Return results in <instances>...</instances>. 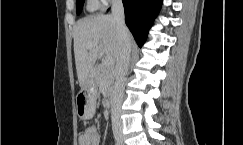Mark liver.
Here are the masks:
<instances>
[{
    "label": "liver",
    "mask_w": 243,
    "mask_h": 145,
    "mask_svg": "<svg viewBox=\"0 0 243 145\" xmlns=\"http://www.w3.org/2000/svg\"><path fill=\"white\" fill-rule=\"evenodd\" d=\"M74 55L80 86L86 83L101 51L117 59L119 38L112 15L89 16L77 21L73 29ZM93 42L97 45L89 48Z\"/></svg>",
    "instance_id": "6515ba94"
}]
</instances>
